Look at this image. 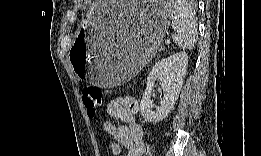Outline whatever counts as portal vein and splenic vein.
Returning a JSON list of instances; mask_svg holds the SVG:
<instances>
[{
  "instance_id": "1",
  "label": "portal vein and splenic vein",
  "mask_w": 261,
  "mask_h": 156,
  "mask_svg": "<svg viewBox=\"0 0 261 156\" xmlns=\"http://www.w3.org/2000/svg\"><path fill=\"white\" fill-rule=\"evenodd\" d=\"M166 44H170V40L167 39V40H166Z\"/></svg>"
}]
</instances>
